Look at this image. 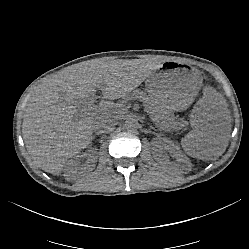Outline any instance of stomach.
<instances>
[{
	"instance_id": "stomach-1",
	"label": "stomach",
	"mask_w": 249,
	"mask_h": 249,
	"mask_svg": "<svg viewBox=\"0 0 249 249\" xmlns=\"http://www.w3.org/2000/svg\"><path fill=\"white\" fill-rule=\"evenodd\" d=\"M199 70H190L176 61H167L146 80L151 99L156 95L159 104L169 109L190 105L202 87Z\"/></svg>"
}]
</instances>
